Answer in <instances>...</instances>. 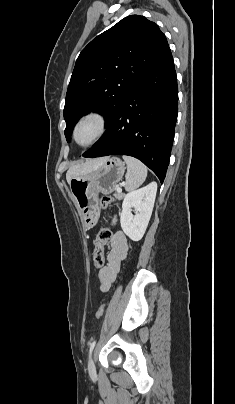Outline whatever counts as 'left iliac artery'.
Returning <instances> with one entry per match:
<instances>
[{"label":"left iliac artery","mask_w":235,"mask_h":404,"mask_svg":"<svg viewBox=\"0 0 235 404\" xmlns=\"http://www.w3.org/2000/svg\"><path fill=\"white\" fill-rule=\"evenodd\" d=\"M95 344H96V340H94L93 342L90 343L89 355H91V353L95 347Z\"/></svg>","instance_id":"obj_1"}]
</instances>
